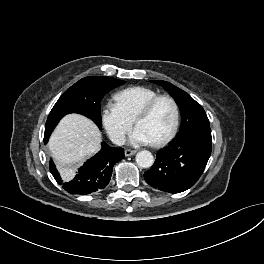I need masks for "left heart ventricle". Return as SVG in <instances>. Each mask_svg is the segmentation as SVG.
I'll return each instance as SVG.
<instances>
[{
    "mask_svg": "<svg viewBox=\"0 0 264 264\" xmlns=\"http://www.w3.org/2000/svg\"><path fill=\"white\" fill-rule=\"evenodd\" d=\"M174 120V109L168 100H161L152 112L137 123L153 141L163 138L171 129Z\"/></svg>",
    "mask_w": 264,
    "mask_h": 264,
    "instance_id": "left-heart-ventricle-1",
    "label": "left heart ventricle"
}]
</instances>
